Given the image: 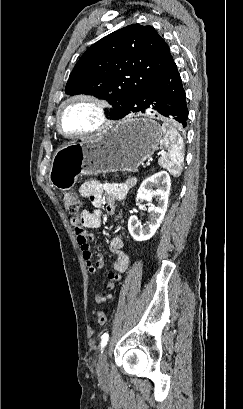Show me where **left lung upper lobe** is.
<instances>
[{
  "label": "left lung upper lobe",
  "instance_id": "5c2ea615",
  "mask_svg": "<svg viewBox=\"0 0 243 409\" xmlns=\"http://www.w3.org/2000/svg\"><path fill=\"white\" fill-rule=\"evenodd\" d=\"M174 64L169 46L152 26L133 24L87 49L71 72L65 91L109 101L114 109L110 117L119 119L143 89Z\"/></svg>",
  "mask_w": 243,
  "mask_h": 409
}]
</instances>
